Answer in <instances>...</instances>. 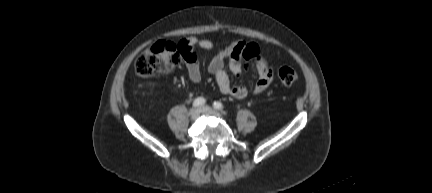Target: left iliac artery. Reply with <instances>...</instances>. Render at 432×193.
I'll use <instances>...</instances> for the list:
<instances>
[{"mask_svg":"<svg viewBox=\"0 0 432 193\" xmlns=\"http://www.w3.org/2000/svg\"><path fill=\"white\" fill-rule=\"evenodd\" d=\"M213 107H214L215 109H218V110H221V109L224 108L223 104H222L221 102H218V101H217V102H214Z\"/></svg>","mask_w":432,"mask_h":193,"instance_id":"left-iliac-artery-1","label":"left iliac artery"}]
</instances>
